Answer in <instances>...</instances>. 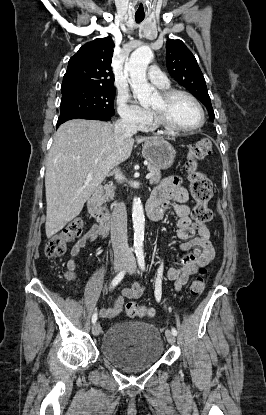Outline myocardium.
Wrapping results in <instances>:
<instances>
[{
  "mask_svg": "<svg viewBox=\"0 0 266 415\" xmlns=\"http://www.w3.org/2000/svg\"><path fill=\"white\" fill-rule=\"evenodd\" d=\"M160 96L166 104L170 103L177 96L187 97L196 105V107L198 108L200 112L201 118H200V122L195 126L180 127V126H176L173 123H171L161 111L152 109L156 124L158 126L162 127L163 129L167 131L174 132V133H187V132L198 130L204 125L206 121V115H205L204 108L202 104L200 103V101L190 92L181 90V89H163L160 92Z\"/></svg>",
  "mask_w": 266,
  "mask_h": 415,
  "instance_id": "obj_1",
  "label": "myocardium"
}]
</instances>
